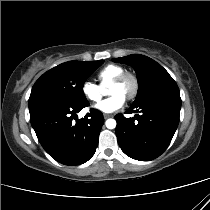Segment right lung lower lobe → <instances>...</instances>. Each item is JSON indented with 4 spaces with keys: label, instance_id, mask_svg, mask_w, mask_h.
I'll use <instances>...</instances> for the list:
<instances>
[{
    "label": "right lung lower lobe",
    "instance_id": "right-lung-lower-lobe-1",
    "mask_svg": "<svg viewBox=\"0 0 210 210\" xmlns=\"http://www.w3.org/2000/svg\"><path fill=\"white\" fill-rule=\"evenodd\" d=\"M87 106L88 101L49 100L29 107L30 122L39 142L57 162L80 165L94 155L104 118L99 110L91 109L84 118L76 120V112Z\"/></svg>",
    "mask_w": 210,
    "mask_h": 210
}]
</instances>
